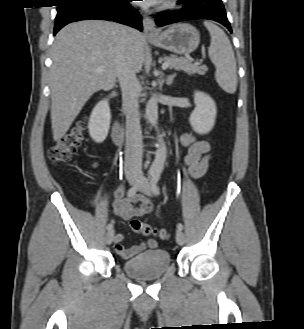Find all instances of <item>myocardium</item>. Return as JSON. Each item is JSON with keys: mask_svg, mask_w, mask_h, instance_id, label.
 <instances>
[{"mask_svg": "<svg viewBox=\"0 0 304 329\" xmlns=\"http://www.w3.org/2000/svg\"><path fill=\"white\" fill-rule=\"evenodd\" d=\"M178 0H163L159 6L160 9H170L173 8Z\"/></svg>", "mask_w": 304, "mask_h": 329, "instance_id": "1", "label": "myocardium"}]
</instances>
